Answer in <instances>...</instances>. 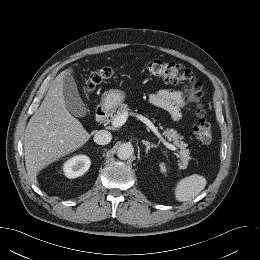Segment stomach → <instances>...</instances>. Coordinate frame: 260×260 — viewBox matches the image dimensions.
I'll return each instance as SVG.
<instances>
[{
	"label": "stomach",
	"mask_w": 260,
	"mask_h": 260,
	"mask_svg": "<svg viewBox=\"0 0 260 260\" xmlns=\"http://www.w3.org/2000/svg\"><path fill=\"white\" fill-rule=\"evenodd\" d=\"M125 100V93L118 89H111L105 92L102 98L104 107L113 109L122 104Z\"/></svg>",
	"instance_id": "stomach-1"
}]
</instances>
